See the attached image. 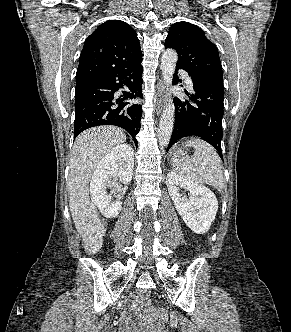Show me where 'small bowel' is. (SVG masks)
Wrapping results in <instances>:
<instances>
[{"label":"small bowel","mask_w":291,"mask_h":332,"mask_svg":"<svg viewBox=\"0 0 291 332\" xmlns=\"http://www.w3.org/2000/svg\"><path fill=\"white\" fill-rule=\"evenodd\" d=\"M136 308H137V304L134 305L135 310H136ZM165 317H166V315L163 310H152V311L146 310L145 314L143 316H140V322L145 327H154L159 322L164 321ZM131 326H132V322L128 321L127 327H131Z\"/></svg>","instance_id":"small-bowel-1"}]
</instances>
